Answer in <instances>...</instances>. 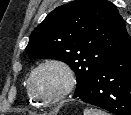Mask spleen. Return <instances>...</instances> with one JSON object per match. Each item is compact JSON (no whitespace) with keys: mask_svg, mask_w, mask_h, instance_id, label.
<instances>
[{"mask_svg":"<svg viewBox=\"0 0 131 115\" xmlns=\"http://www.w3.org/2000/svg\"><path fill=\"white\" fill-rule=\"evenodd\" d=\"M84 115H107L101 110H96V109H85L83 112Z\"/></svg>","mask_w":131,"mask_h":115,"instance_id":"obj_1","label":"spleen"}]
</instances>
